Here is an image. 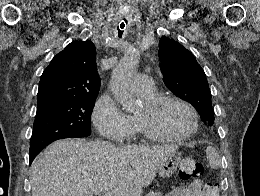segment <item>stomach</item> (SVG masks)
Instances as JSON below:
<instances>
[{
	"mask_svg": "<svg viewBox=\"0 0 260 196\" xmlns=\"http://www.w3.org/2000/svg\"><path fill=\"white\" fill-rule=\"evenodd\" d=\"M179 162L180 154H177V152H173V154L165 156V158L161 160L158 168L160 178H170V176L176 172Z\"/></svg>",
	"mask_w": 260,
	"mask_h": 196,
	"instance_id": "0dacf381",
	"label": "stomach"
}]
</instances>
